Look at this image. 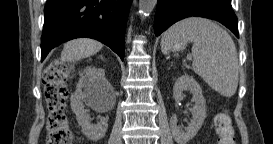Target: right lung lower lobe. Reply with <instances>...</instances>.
<instances>
[{"instance_id":"obj_1","label":"right lung lower lobe","mask_w":273,"mask_h":144,"mask_svg":"<svg viewBox=\"0 0 273 144\" xmlns=\"http://www.w3.org/2000/svg\"><path fill=\"white\" fill-rule=\"evenodd\" d=\"M132 0H47L41 59L78 37L97 39L124 58V37Z\"/></svg>"}]
</instances>
